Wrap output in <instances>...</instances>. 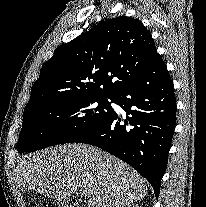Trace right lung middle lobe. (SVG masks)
I'll list each match as a JSON object with an SVG mask.
<instances>
[{"label":"right lung middle lobe","instance_id":"1","mask_svg":"<svg viewBox=\"0 0 206 207\" xmlns=\"http://www.w3.org/2000/svg\"><path fill=\"white\" fill-rule=\"evenodd\" d=\"M113 95L50 101L24 111L17 150L33 152L71 143L97 127L114 109Z\"/></svg>","mask_w":206,"mask_h":207}]
</instances>
